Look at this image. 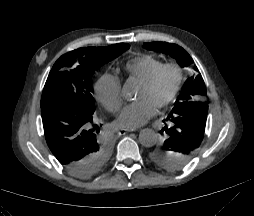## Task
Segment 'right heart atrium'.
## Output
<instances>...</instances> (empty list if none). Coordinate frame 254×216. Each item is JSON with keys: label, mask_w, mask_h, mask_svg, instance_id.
I'll list each match as a JSON object with an SVG mask.
<instances>
[{"label": "right heart atrium", "mask_w": 254, "mask_h": 216, "mask_svg": "<svg viewBox=\"0 0 254 216\" xmlns=\"http://www.w3.org/2000/svg\"><path fill=\"white\" fill-rule=\"evenodd\" d=\"M95 97L107 111L117 112L122 105L120 80L111 74H103L95 84Z\"/></svg>", "instance_id": "1"}]
</instances>
